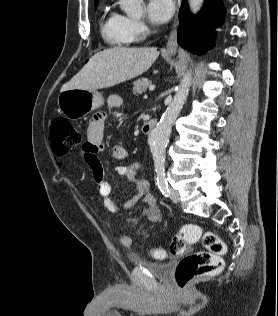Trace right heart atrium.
Masks as SVG:
<instances>
[{
	"instance_id": "right-heart-atrium-1",
	"label": "right heart atrium",
	"mask_w": 278,
	"mask_h": 316,
	"mask_svg": "<svg viewBox=\"0 0 278 316\" xmlns=\"http://www.w3.org/2000/svg\"><path fill=\"white\" fill-rule=\"evenodd\" d=\"M124 20L126 31L131 40H139L144 36L146 32V25L143 21L125 16Z\"/></svg>"
}]
</instances>
